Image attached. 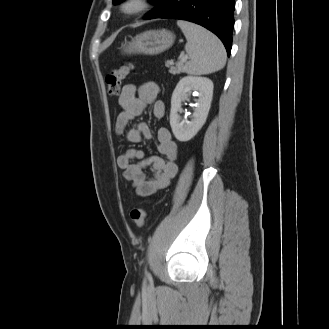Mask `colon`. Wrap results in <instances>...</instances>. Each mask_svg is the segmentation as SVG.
Listing matches in <instances>:
<instances>
[{
	"label": "colon",
	"instance_id": "1",
	"mask_svg": "<svg viewBox=\"0 0 329 329\" xmlns=\"http://www.w3.org/2000/svg\"><path fill=\"white\" fill-rule=\"evenodd\" d=\"M132 68L130 63H123L118 69L110 72L106 76L108 92L111 95L117 96L120 94L122 81L130 73ZM131 219L137 228L142 229L146 221L145 210L142 207L133 209L131 211Z\"/></svg>",
	"mask_w": 329,
	"mask_h": 329
}]
</instances>
